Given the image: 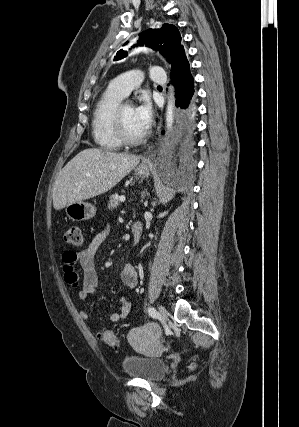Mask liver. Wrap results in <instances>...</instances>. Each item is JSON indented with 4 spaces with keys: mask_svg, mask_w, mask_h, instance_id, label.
<instances>
[{
    "mask_svg": "<svg viewBox=\"0 0 299 427\" xmlns=\"http://www.w3.org/2000/svg\"><path fill=\"white\" fill-rule=\"evenodd\" d=\"M140 156L89 148L79 152L59 173L53 190V206L69 204L106 193L135 166Z\"/></svg>",
    "mask_w": 299,
    "mask_h": 427,
    "instance_id": "1",
    "label": "liver"
}]
</instances>
